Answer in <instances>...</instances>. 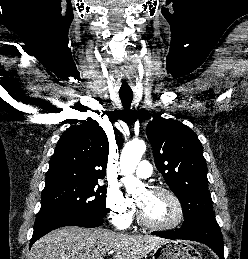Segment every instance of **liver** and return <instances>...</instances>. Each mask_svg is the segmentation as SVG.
<instances>
[{
  "label": "liver",
  "mask_w": 248,
  "mask_h": 259,
  "mask_svg": "<svg viewBox=\"0 0 248 259\" xmlns=\"http://www.w3.org/2000/svg\"><path fill=\"white\" fill-rule=\"evenodd\" d=\"M164 242L157 236L66 226L37 240L29 259H100L106 254H114L113 259H142Z\"/></svg>",
  "instance_id": "6515ba94"
}]
</instances>
